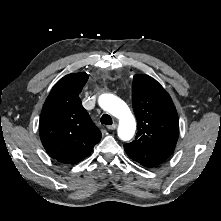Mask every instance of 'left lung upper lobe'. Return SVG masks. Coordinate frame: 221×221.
Segmentation results:
<instances>
[{"label":"left lung upper lobe","mask_w":221,"mask_h":221,"mask_svg":"<svg viewBox=\"0 0 221 221\" xmlns=\"http://www.w3.org/2000/svg\"><path fill=\"white\" fill-rule=\"evenodd\" d=\"M137 119L135 140L124 145L127 155L145 167H156L174 151L179 135L176 108L169 94L152 77L137 74L132 84Z\"/></svg>","instance_id":"left-lung-upper-lobe-1"}]
</instances>
